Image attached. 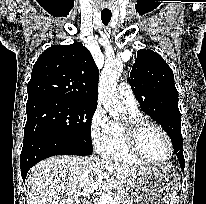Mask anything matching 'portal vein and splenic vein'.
Wrapping results in <instances>:
<instances>
[{
    "instance_id": "18ae733b",
    "label": "portal vein and splenic vein",
    "mask_w": 206,
    "mask_h": 204,
    "mask_svg": "<svg viewBox=\"0 0 206 204\" xmlns=\"http://www.w3.org/2000/svg\"><path fill=\"white\" fill-rule=\"evenodd\" d=\"M102 178H98L94 183L89 185L88 187L83 189V194L84 195H90L94 191H96L102 184ZM97 197H99V204H119L120 203V198L115 197L113 198L112 196H109L108 194L102 193V192H97L95 193Z\"/></svg>"
}]
</instances>
